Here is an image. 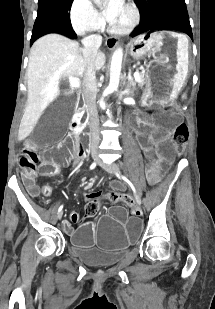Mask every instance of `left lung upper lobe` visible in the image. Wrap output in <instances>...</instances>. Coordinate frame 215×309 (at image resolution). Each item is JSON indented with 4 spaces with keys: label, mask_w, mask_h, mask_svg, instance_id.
<instances>
[{
    "label": "left lung upper lobe",
    "mask_w": 215,
    "mask_h": 309,
    "mask_svg": "<svg viewBox=\"0 0 215 309\" xmlns=\"http://www.w3.org/2000/svg\"><path fill=\"white\" fill-rule=\"evenodd\" d=\"M141 15L132 36L149 30H177L193 39L185 0H135Z\"/></svg>",
    "instance_id": "5c2ea615"
}]
</instances>
